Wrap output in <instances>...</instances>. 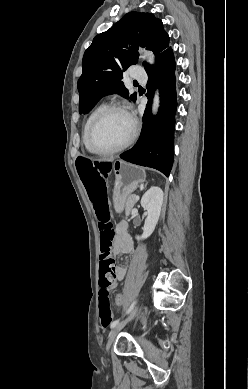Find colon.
<instances>
[{"label":"colon","mask_w":248,"mask_h":389,"mask_svg":"<svg viewBox=\"0 0 248 389\" xmlns=\"http://www.w3.org/2000/svg\"><path fill=\"white\" fill-rule=\"evenodd\" d=\"M81 181L86 189L90 201L93 203L100 229V295L99 318L103 328L108 327L112 320L110 291L117 283L116 267L110 257V249L115 237V227L111 219L107 200L106 182L109 172L112 171L110 161H94L88 157H76ZM115 306L121 307L125 303V292L117 291Z\"/></svg>","instance_id":"5ec220e1"}]
</instances>
